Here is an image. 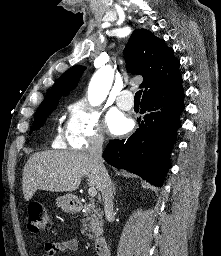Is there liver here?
I'll return each mask as SVG.
<instances>
[{
    "label": "liver",
    "mask_w": 221,
    "mask_h": 256,
    "mask_svg": "<svg viewBox=\"0 0 221 256\" xmlns=\"http://www.w3.org/2000/svg\"><path fill=\"white\" fill-rule=\"evenodd\" d=\"M84 176L91 187L100 190V172L88 153L56 150L34 153L23 169L24 198L30 201L37 190L75 191Z\"/></svg>",
    "instance_id": "liver-1"
}]
</instances>
